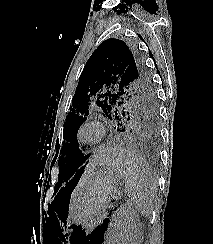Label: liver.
<instances>
[{"mask_svg":"<svg viewBox=\"0 0 213 244\" xmlns=\"http://www.w3.org/2000/svg\"><path fill=\"white\" fill-rule=\"evenodd\" d=\"M108 158H109V154L94 155L89 162L87 173L93 171L96 165L104 164L108 160ZM87 175L84 177V181L87 179ZM81 184H83V182H81Z\"/></svg>","mask_w":213,"mask_h":244,"instance_id":"obj_1","label":"liver"}]
</instances>
